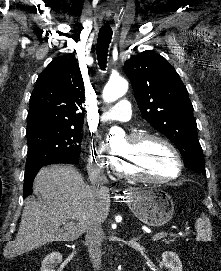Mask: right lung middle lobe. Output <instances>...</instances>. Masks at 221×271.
I'll use <instances>...</instances> for the list:
<instances>
[{"label":"right lung middle lobe","instance_id":"obj_1","mask_svg":"<svg viewBox=\"0 0 221 271\" xmlns=\"http://www.w3.org/2000/svg\"><path fill=\"white\" fill-rule=\"evenodd\" d=\"M28 154L26 168L52 163H77L81 129L41 126L26 131Z\"/></svg>","mask_w":221,"mask_h":271}]
</instances>
